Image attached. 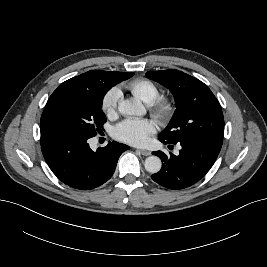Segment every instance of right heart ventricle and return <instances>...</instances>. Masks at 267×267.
<instances>
[{
    "mask_svg": "<svg viewBox=\"0 0 267 267\" xmlns=\"http://www.w3.org/2000/svg\"><path fill=\"white\" fill-rule=\"evenodd\" d=\"M127 89L147 104L152 103L160 95L159 87L153 81L144 78L130 81Z\"/></svg>",
    "mask_w": 267,
    "mask_h": 267,
    "instance_id": "e07e8e85",
    "label": "right heart ventricle"
}]
</instances>
